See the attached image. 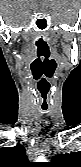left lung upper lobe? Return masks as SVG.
Instances as JSON below:
<instances>
[{
  "mask_svg": "<svg viewBox=\"0 0 81 167\" xmlns=\"http://www.w3.org/2000/svg\"><path fill=\"white\" fill-rule=\"evenodd\" d=\"M81 152H71L70 154H58L52 158V162L47 167H80Z\"/></svg>",
  "mask_w": 81,
  "mask_h": 167,
  "instance_id": "5c2ea615",
  "label": "left lung upper lobe"
}]
</instances>
